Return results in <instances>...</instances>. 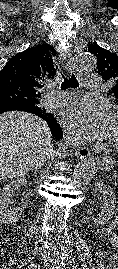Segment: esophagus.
Here are the masks:
<instances>
[{"label": "esophagus", "mask_w": 118, "mask_h": 269, "mask_svg": "<svg viewBox=\"0 0 118 269\" xmlns=\"http://www.w3.org/2000/svg\"><path fill=\"white\" fill-rule=\"evenodd\" d=\"M58 53H59V57L61 60L63 58L66 60V66H65L66 70L69 72L72 69H74V66H73L72 61H71V55L68 52H63L60 49L58 50ZM75 154L80 159H84V158L90 156L91 150L87 147H77Z\"/></svg>", "instance_id": "34e87169"}]
</instances>
